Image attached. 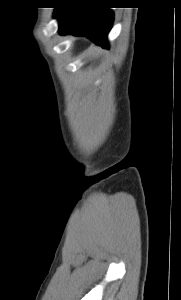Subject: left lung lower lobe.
Instances as JSON below:
<instances>
[{"instance_id": "obj_1", "label": "left lung lower lobe", "mask_w": 181, "mask_h": 300, "mask_svg": "<svg viewBox=\"0 0 181 300\" xmlns=\"http://www.w3.org/2000/svg\"><path fill=\"white\" fill-rule=\"evenodd\" d=\"M60 35H82L96 44L107 47V34L111 29L113 13L97 0H76L56 7Z\"/></svg>"}]
</instances>
